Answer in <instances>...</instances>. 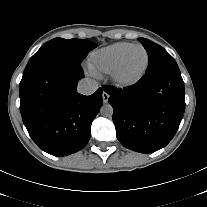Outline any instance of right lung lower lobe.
I'll use <instances>...</instances> for the list:
<instances>
[{"mask_svg": "<svg viewBox=\"0 0 207 207\" xmlns=\"http://www.w3.org/2000/svg\"><path fill=\"white\" fill-rule=\"evenodd\" d=\"M80 64L51 60L23 73L19 86L23 123L37 146L54 156L81 150L89 141L91 124L99 112L102 89L84 96L77 81Z\"/></svg>", "mask_w": 207, "mask_h": 207, "instance_id": "98d812e1", "label": "right lung lower lobe"}]
</instances>
